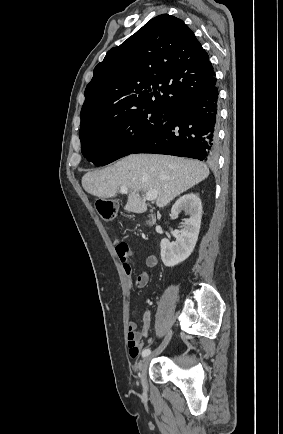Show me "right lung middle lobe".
<instances>
[{
    "mask_svg": "<svg viewBox=\"0 0 283 434\" xmlns=\"http://www.w3.org/2000/svg\"><path fill=\"white\" fill-rule=\"evenodd\" d=\"M166 121V111L141 108L80 130L81 151L96 166L131 154Z\"/></svg>",
    "mask_w": 283,
    "mask_h": 434,
    "instance_id": "obj_1",
    "label": "right lung middle lobe"
}]
</instances>
